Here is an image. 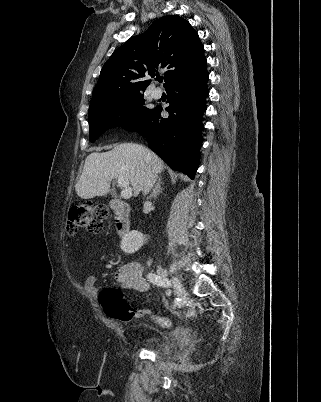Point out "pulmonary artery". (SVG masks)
<instances>
[{
    "label": "pulmonary artery",
    "instance_id": "1",
    "mask_svg": "<svg viewBox=\"0 0 321 402\" xmlns=\"http://www.w3.org/2000/svg\"><path fill=\"white\" fill-rule=\"evenodd\" d=\"M151 95H152L153 98L158 99L161 96V92L158 91V90H153Z\"/></svg>",
    "mask_w": 321,
    "mask_h": 402
}]
</instances>
